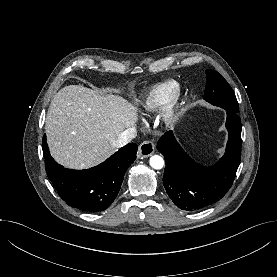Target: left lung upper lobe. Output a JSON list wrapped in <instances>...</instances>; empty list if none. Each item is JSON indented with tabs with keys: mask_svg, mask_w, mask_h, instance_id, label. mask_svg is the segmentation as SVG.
<instances>
[{
	"mask_svg": "<svg viewBox=\"0 0 277 277\" xmlns=\"http://www.w3.org/2000/svg\"><path fill=\"white\" fill-rule=\"evenodd\" d=\"M207 84L204 99L212 105L238 112L239 107L232 88L221 74L207 70Z\"/></svg>",
	"mask_w": 277,
	"mask_h": 277,
	"instance_id": "left-lung-upper-lobe-1",
	"label": "left lung upper lobe"
}]
</instances>
